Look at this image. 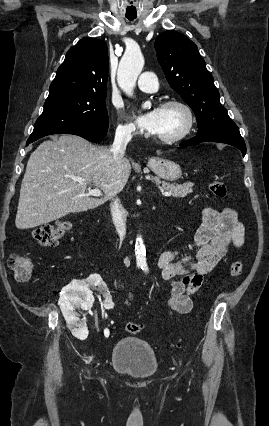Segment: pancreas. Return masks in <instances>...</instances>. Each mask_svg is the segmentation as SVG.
<instances>
[{"label": "pancreas", "mask_w": 269, "mask_h": 426, "mask_svg": "<svg viewBox=\"0 0 269 426\" xmlns=\"http://www.w3.org/2000/svg\"><path fill=\"white\" fill-rule=\"evenodd\" d=\"M154 180L156 183L161 184L162 188L166 191H169L172 193L173 197L179 198V197H185L187 194L193 192V183H186V184H171L167 182H161L158 177H154Z\"/></svg>", "instance_id": "obj_1"}]
</instances>
